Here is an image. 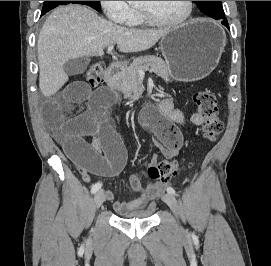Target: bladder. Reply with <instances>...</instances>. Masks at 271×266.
Masks as SVG:
<instances>
[{"label":"bladder","mask_w":271,"mask_h":266,"mask_svg":"<svg viewBox=\"0 0 271 266\" xmlns=\"http://www.w3.org/2000/svg\"><path fill=\"white\" fill-rule=\"evenodd\" d=\"M153 208H149L148 210L138 211L131 214L126 215H117V217L127 220L132 219H148L152 216Z\"/></svg>","instance_id":"bladder-1"}]
</instances>
